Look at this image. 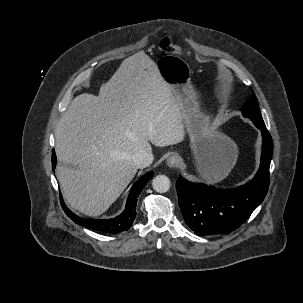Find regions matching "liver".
<instances>
[{
    "label": "liver",
    "mask_w": 303,
    "mask_h": 303,
    "mask_svg": "<svg viewBox=\"0 0 303 303\" xmlns=\"http://www.w3.org/2000/svg\"><path fill=\"white\" fill-rule=\"evenodd\" d=\"M180 100L156 63L126 58L99 96L75 97L55 129L57 178L67 203L88 216L106 211L137 173L133 156L184 140ZM69 165V166H68Z\"/></svg>",
    "instance_id": "liver-1"
}]
</instances>
